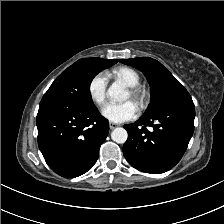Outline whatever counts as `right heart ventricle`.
Listing matches in <instances>:
<instances>
[{"label":"right heart ventricle","instance_id":"obj_1","mask_svg":"<svg viewBox=\"0 0 224 224\" xmlns=\"http://www.w3.org/2000/svg\"><path fill=\"white\" fill-rule=\"evenodd\" d=\"M109 75L114 77L117 80L122 81L128 87L138 86L141 81V78L138 72L126 66H120L113 69L109 73Z\"/></svg>","mask_w":224,"mask_h":224}]
</instances>
